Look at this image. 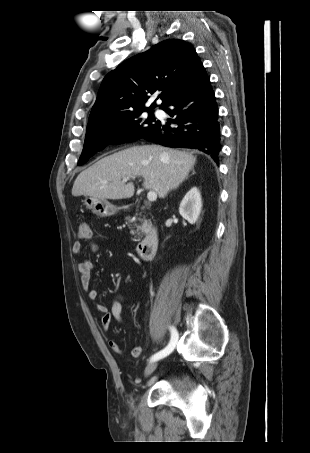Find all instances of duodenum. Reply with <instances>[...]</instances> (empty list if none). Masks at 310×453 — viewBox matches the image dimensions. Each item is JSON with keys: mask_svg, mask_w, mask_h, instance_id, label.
<instances>
[{"mask_svg": "<svg viewBox=\"0 0 310 453\" xmlns=\"http://www.w3.org/2000/svg\"><path fill=\"white\" fill-rule=\"evenodd\" d=\"M159 233L156 228H150L144 238L137 245V254L142 260H150L157 251Z\"/></svg>", "mask_w": 310, "mask_h": 453, "instance_id": "obj_1", "label": "duodenum"}]
</instances>
